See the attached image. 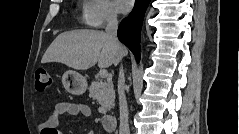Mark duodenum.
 Segmentation results:
<instances>
[{
  "mask_svg": "<svg viewBox=\"0 0 239 134\" xmlns=\"http://www.w3.org/2000/svg\"><path fill=\"white\" fill-rule=\"evenodd\" d=\"M102 125L107 132H113L116 127V119L112 115H106L102 118Z\"/></svg>",
  "mask_w": 239,
  "mask_h": 134,
  "instance_id": "410a0bca",
  "label": "duodenum"
}]
</instances>
